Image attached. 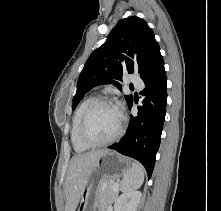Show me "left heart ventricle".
Returning <instances> with one entry per match:
<instances>
[{"label": "left heart ventricle", "mask_w": 221, "mask_h": 211, "mask_svg": "<svg viewBox=\"0 0 221 211\" xmlns=\"http://www.w3.org/2000/svg\"><path fill=\"white\" fill-rule=\"evenodd\" d=\"M120 125V113L116 107L101 105L90 114L86 133L93 141H103L113 136Z\"/></svg>", "instance_id": "obj_1"}]
</instances>
